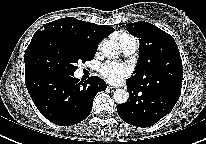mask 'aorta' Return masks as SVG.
<instances>
[{
    "instance_id": "762f6f07",
    "label": "aorta",
    "mask_w": 206,
    "mask_h": 144,
    "mask_svg": "<svg viewBox=\"0 0 206 144\" xmlns=\"http://www.w3.org/2000/svg\"><path fill=\"white\" fill-rule=\"evenodd\" d=\"M102 53L107 58H117L120 54V47L113 40H105L101 47ZM129 98V93L125 89H117L114 92V100L118 104H124Z\"/></svg>"
}]
</instances>
